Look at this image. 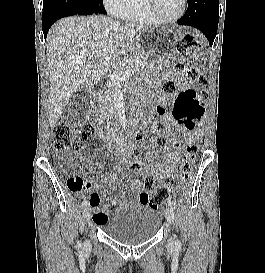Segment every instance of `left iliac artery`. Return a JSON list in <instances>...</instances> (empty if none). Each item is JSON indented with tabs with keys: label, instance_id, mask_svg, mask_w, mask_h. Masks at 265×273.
Here are the masks:
<instances>
[{
	"label": "left iliac artery",
	"instance_id": "44dca946",
	"mask_svg": "<svg viewBox=\"0 0 265 273\" xmlns=\"http://www.w3.org/2000/svg\"><path fill=\"white\" fill-rule=\"evenodd\" d=\"M168 205H169L172 209H176V203H175L174 201L169 200V201H168ZM175 246H176V248H180V247H181V243H180L179 240L176 241Z\"/></svg>",
	"mask_w": 265,
	"mask_h": 273
}]
</instances>
